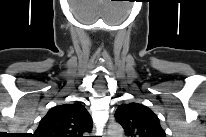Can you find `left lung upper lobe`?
<instances>
[{"mask_svg":"<svg viewBox=\"0 0 206 137\" xmlns=\"http://www.w3.org/2000/svg\"><path fill=\"white\" fill-rule=\"evenodd\" d=\"M114 116L129 137H166L156 114L142 104H122Z\"/></svg>","mask_w":206,"mask_h":137,"instance_id":"1","label":"left lung upper lobe"}]
</instances>
